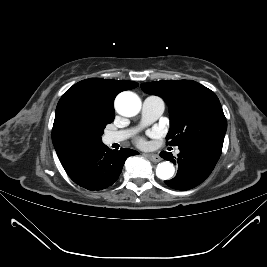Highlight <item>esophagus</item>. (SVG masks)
<instances>
[{
    "instance_id": "esophagus-1",
    "label": "esophagus",
    "mask_w": 267,
    "mask_h": 267,
    "mask_svg": "<svg viewBox=\"0 0 267 267\" xmlns=\"http://www.w3.org/2000/svg\"><path fill=\"white\" fill-rule=\"evenodd\" d=\"M146 156L155 163L161 161L160 156L157 154H146Z\"/></svg>"
}]
</instances>
